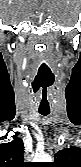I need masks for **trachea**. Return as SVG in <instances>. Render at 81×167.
<instances>
[{
  "instance_id": "1",
  "label": "trachea",
  "mask_w": 81,
  "mask_h": 167,
  "mask_svg": "<svg viewBox=\"0 0 81 167\" xmlns=\"http://www.w3.org/2000/svg\"><path fill=\"white\" fill-rule=\"evenodd\" d=\"M40 114L42 116H47L49 114V111H40Z\"/></svg>"
}]
</instances>
